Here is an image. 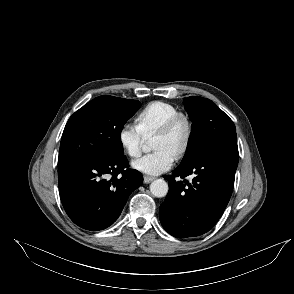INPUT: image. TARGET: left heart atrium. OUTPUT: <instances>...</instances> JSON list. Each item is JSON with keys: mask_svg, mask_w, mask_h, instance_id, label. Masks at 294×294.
I'll use <instances>...</instances> for the list:
<instances>
[{"mask_svg": "<svg viewBox=\"0 0 294 294\" xmlns=\"http://www.w3.org/2000/svg\"><path fill=\"white\" fill-rule=\"evenodd\" d=\"M176 155L168 149H157L132 162V167L142 173L159 175L168 171L174 164Z\"/></svg>", "mask_w": 294, "mask_h": 294, "instance_id": "39dd6f15", "label": "left heart atrium"}]
</instances>
